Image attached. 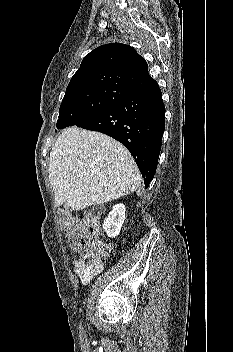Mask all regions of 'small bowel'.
Listing matches in <instances>:
<instances>
[{
	"label": "small bowel",
	"instance_id": "1",
	"mask_svg": "<svg viewBox=\"0 0 233 352\" xmlns=\"http://www.w3.org/2000/svg\"><path fill=\"white\" fill-rule=\"evenodd\" d=\"M84 283H86L88 280H82Z\"/></svg>",
	"mask_w": 233,
	"mask_h": 352
}]
</instances>
